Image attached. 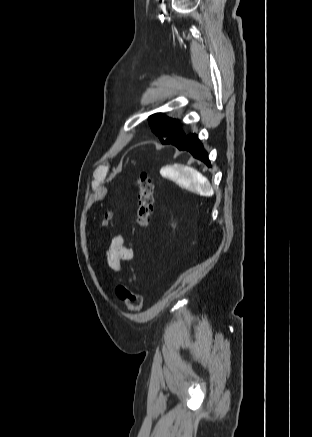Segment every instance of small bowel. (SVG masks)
Wrapping results in <instances>:
<instances>
[{
  "mask_svg": "<svg viewBox=\"0 0 312 437\" xmlns=\"http://www.w3.org/2000/svg\"><path fill=\"white\" fill-rule=\"evenodd\" d=\"M133 251L125 244L123 236H115L105 253V262L114 271L121 269L122 262L129 261Z\"/></svg>",
  "mask_w": 312,
  "mask_h": 437,
  "instance_id": "1",
  "label": "small bowel"
}]
</instances>
